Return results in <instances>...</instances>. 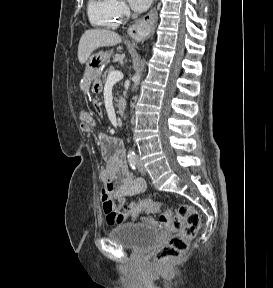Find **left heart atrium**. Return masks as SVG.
Segmentation results:
<instances>
[{
	"instance_id": "obj_1",
	"label": "left heart atrium",
	"mask_w": 273,
	"mask_h": 288,
	"mask_svg": "<svg viewBox=\"0 0 273 288\" xmlns=\"http://www.w3.org/2000/svg\"><path fill=\"white\" fill-rule=\"evenodd\" d=\"M151 2L152 0H129L131 7L137 12L146 10Z\"/></svg>"
}]
</instances>
